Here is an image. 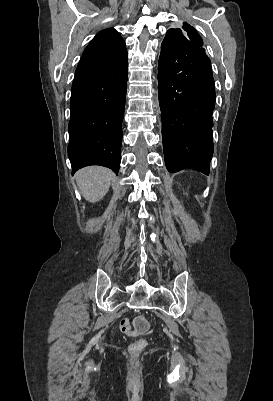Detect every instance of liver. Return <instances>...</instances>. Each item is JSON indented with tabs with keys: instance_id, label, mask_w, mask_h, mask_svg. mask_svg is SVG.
<instances>
[{
	"instance_id": "1",
	"label": "liver",
	"mask_w": 273,
	"mask_h": 401,
	"mask_svg": "<svg viewBox=\"0 0 273 401\" xmlns=\"http://www.w3.org/2000/svg\"><path fill=\"white\" fill-rule=\"evenodd\" d=\"M115 174L104 166H86L76 172V182L89 203H96L103 198Z\"/></svg>"
}]
</instances>
